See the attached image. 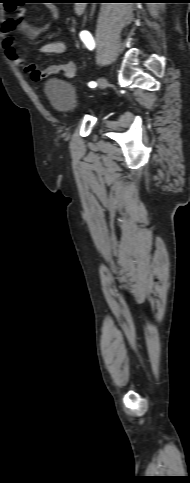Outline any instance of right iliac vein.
<instances>
[{
    "mask_svg": "<svg viewBox=\"0 0 190 483\" xmlns=\"http://www.w3.org/2000/svg\"><path fill=\"white\" fill-rule=\"evenodd\" d=\"M106 85V79L104 77L100 78L98 81V88L103 89Z\"/></svg>",
    "mask_w": 190,
    "mask_h": 483,
    "instance_id": "obj_1",
    "label": "right iliac vein"
}]
</instances>
